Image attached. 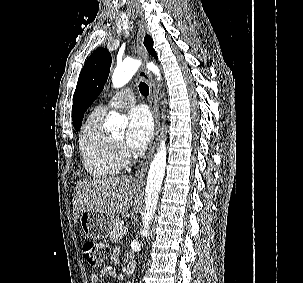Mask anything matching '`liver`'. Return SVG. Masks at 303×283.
Masks as SVG:
<instances>
[{
  "label": "liver",
  "instance_id": "6515ba94",
  "mask_svg": "<svg viewBox=\"0 0 303 283\" xmlns=\"http://www.w3.org/2000/svg\"><path fill=\"white\" fill-rule=\"evenodd\" d=\"M134 180L128 176L80 180L74 190L75 222L84 211L124 214L132 206Z\"/></svg>",
  "mask_w": 303,
  "mask_h": 283
}]
</instances>
